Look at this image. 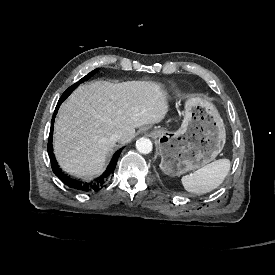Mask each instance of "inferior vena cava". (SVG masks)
<instances>
[{
	"instance_id": "602c4592",
	"label": "inferior vena cava",
	"mask_w": 275,
	"mask_h": 275,
	"mask_svg": "<svg viewBox=\"0 0 275 275\" xmlns=\"http://www.w3.org/2000/svg\"><path fill=\"white\" fill-rule=\"evenodd\" d=\"M122 137V132L121 131H115L113 134L110 136V140L113 142L118 141Z\"/></svg>"
}]
</instances>
